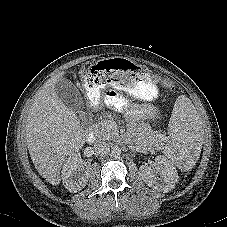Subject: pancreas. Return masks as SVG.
I'll list each match as a JSON object with an SVG mask.
<instances>
[{"mask_svg": "<svg viewBox=\"0 0 227 227\" xmlns=\"http://www.w3.org/2000/svg\"><path fill=\"white\" fill-rule=\"evenodd\" d=\"M95 134L99 139L110 140L116 136L117 131L112 129L111 122L109 120H103L95 126Z\"/></svg>", "mask_w": 227, "mask_h": 227, "instance_id": "obj_1", "label": "pancreas"}]
</instances>
